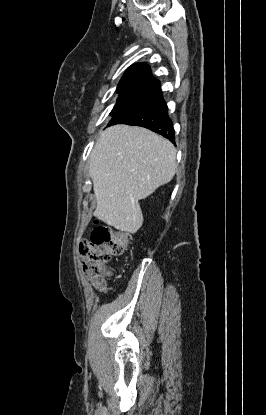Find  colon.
<instances>
[{"instance_id":"1","label":"colon","mask_w":266,"mask_h":415,"mask_svg":"<svg viewBox=\"0 0 266 415\" xmlns=\"http://www.w3.org/2000/svg\"><path fill=\"white\" fill-rule=\"evenodd\" d=\"M130 239L126 232L96 226L90 238L80 243L83 271L100 291L106 290L104 278L109 260L123 254Z\"/></svg>"}]
</instances>
